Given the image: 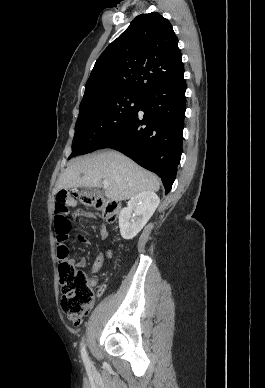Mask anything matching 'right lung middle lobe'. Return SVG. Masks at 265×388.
<instances>
[{
	"mask_svg": "<svg viewBox=\"0 0 265 388\" xmlns=\"http://www.w3.org/2000/svg\"><path fill=\"white\" fill-rule=\"evenodd\" d=\"M142 95L102 90L84 97L75 126L72 154L93 152L137 109Z\"/></svg>",
	"mask_w": 265,
	"mask_h": 388,
	"instance_id": "dd1d6c3e",
	"label": "right lung middle lobe"
}]
</instances>
